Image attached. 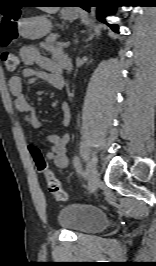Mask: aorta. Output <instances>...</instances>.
Here are the masks:
<instances>
[{
  "label": "aorta",
  "instance_id": "aorta-1",
  "mask_svg": "<svg viewBox=\"0 0 156 266\" xmlns=\"http://www.w3.org/2000/svg\"><path fill=\"white\" fill-rule=\"evenodd\" d=\"M96 8H91V15L92 17H95Z\"/></svg>",
  "mask_w": 156,
  "mask_h": 266
}]
</instances>
